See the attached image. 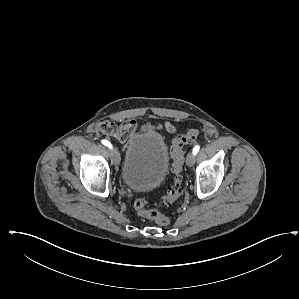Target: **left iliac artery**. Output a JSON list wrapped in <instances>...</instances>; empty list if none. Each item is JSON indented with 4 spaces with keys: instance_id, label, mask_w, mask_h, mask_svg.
<instances>
[{
    "instance_id": "44dca946",
    "label": "left iliac artery",
    "mask_w": 299,
    "mask_h": 299,
    "mask_svg": "<svg viewBox=\"0 0 299 299\" xmlns=\"http://www.w3.org/2000/svg\"><path fill=\"white\" fill-rule=\"evenodd\" d=\"M199 149H200V146H199V145H196V146L193 148V154L196 155V154L199 152Z\"/></svg>"
}]
</instances>
